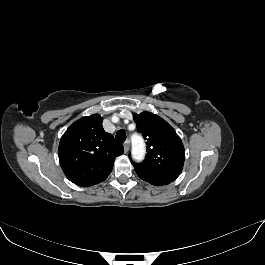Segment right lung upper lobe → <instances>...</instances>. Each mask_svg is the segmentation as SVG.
<instances>
[{
    "label": "right lung upper lobe",
    "mask_w": 265,
    "mask_h": 265,
    "mask_svg": "<svg viewBox=\"0 0 265 265\" xmlns=\"http://www.w3.org/2000/svg\"><path fill=\"white\" fill-rule=\"evenodd\" d=\"M103 118L94 114L74 122L59 143V162L66 177L76 185L89 187L104 181L117 156L124 153L121 144L104 131Z\"/></svg>",
    "instance_id": "right-lung-upper-lobe-1"
}]
</instances>
